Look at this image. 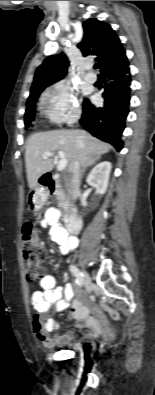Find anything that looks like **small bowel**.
I'll return each instance as SVG.
<instances>
[{
	"instance_id": "small-bowel-1",
	"label": "small bowel",
	"mask_w": 155,
	"mask_h": 395,
	"mask_svg": "<svg viewBox=\"0 0 155 395\" xmlns=\"http://www.w3.org/2000/svg\"><path fill=\"white\" fill-rule=\"evenodd\" d=\"M60 212L56 208H49L42 219L43 227L50 226L52 240L58 245V252L65 254L73 252L78 247L77 237L65 231L59 224ZM40 288H33L31 304L35 310L32 320L33 331L39 341L47 348L59 347L69 343L74 338V332L66 334L57 333L60 327L58 321L50 318L52 309L57 312L66 310L74 297V288L71 283L57 286L52 275H46L39 282ZM69 317L76 321V329L87 327L85 338H92L101 331V322L90 314L88 308L79 300H74L71 305Z\"/></svg>"
}]
</instances>
